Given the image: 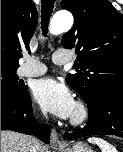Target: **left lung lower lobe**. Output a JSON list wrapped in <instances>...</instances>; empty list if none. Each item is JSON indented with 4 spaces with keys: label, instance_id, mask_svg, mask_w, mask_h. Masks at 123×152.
Wrapping results in <instances>:
<instances>
[{
    "label": "left lung lower lobe",
    "instance_id": "0a47b994",
    "mask_svg": "<svg viewBox=\"0 0 123 152\" xmlns=\"http://www.w3.org/2000/svg\"><path fill=\"white\" fill-rule=\"evenodd\" d=\"M87 125L66 133L65 137L75 140L91 135H116L123 138V90L109 89L99 93L90 103Z\"/></svg>",
    "mask_w": 123,
    "mask_h": 152
}]
</instances>
